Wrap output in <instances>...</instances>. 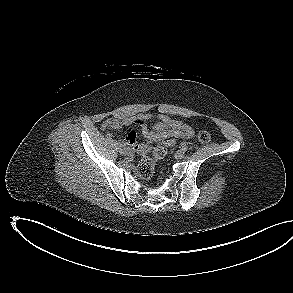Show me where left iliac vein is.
Returning a JSON list of instances; mask_svg holds the SVG:
<instances>
[{
    "instance_id": "4c4485c4",
    "label": "left iliac vein",
    "mask_w": 293,
    "mask_h": 293,
    "mask_svg": "<svg viewBox=\"0 0 293 293\" xmlns=\"http://www.w3.org/2000/svg\"><path fill=\"white\" fill-rule=\"evenodd\" d=\"M175 157H176L177 159H182V158L184 157V151H182V150H178V151L176 152V154H175Z\"/></svg>"
}]
</instances>
